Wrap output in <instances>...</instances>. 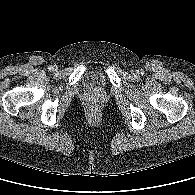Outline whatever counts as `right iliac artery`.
I'll return each instance as SVG.
<instances>
[{"label":"right iliac artery","mask_w":195,"mask_h":195,"mask_svg":"<svg viewBox=\"0 0 195 195\" xmlns=\"http://www.w3.org/2000/svg\"><path fill=\"white\" fill-rule=\"evenodd\" d=\"M48 69H49L50 71H51V70H53V66H49V68H48Z\"/></svg>","instance_id":"82829eb1"}]
</instances>
